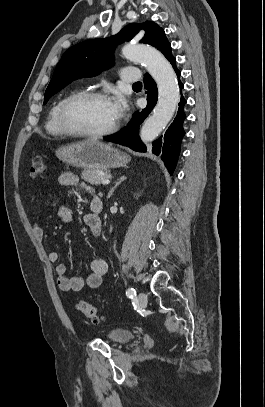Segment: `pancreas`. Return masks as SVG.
Here are the masks:
<instances>
[{
    "mask_svg": "<svg viewBox=\"0 0 265 407\" xmlns=\"http://www.w3.org/2000/svg\"><path fill=\"white\" fill-rule=\"evenodd\" d=\"M108 175H103L102 170L88 169L82 172L81 178L91 185H99L103 179H107Z\"/></svg>",
    "mask_w": 265,
    "mask_h": 407,
    "instance_id": "pancreas-1",
    "label": "pancreas"
}]
</instances>
